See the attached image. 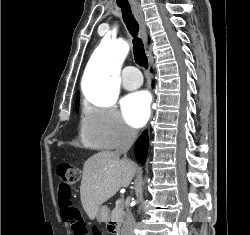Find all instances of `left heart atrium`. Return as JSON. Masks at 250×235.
I'll return each instance as SVG.
<instances>
[{
  "instance_id": "left-heart-atrium-1",
  "label": "left heart atrium",
  "mask_w": 250,
  "mask_h": 235,
  "mask_svg": "<svg viewBox=\"0 0 250 235\" xmlns=\"http://www.w3.org/2000/svg\"><path fill=\"white\" fill-rule=\"evenodd\" d=\"M151 99L147 92L138 91L126 96L121 104L125 120L133 127H142L150 116Z\"/></svg>"
}]
</instances>
